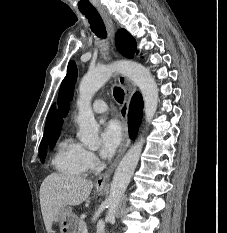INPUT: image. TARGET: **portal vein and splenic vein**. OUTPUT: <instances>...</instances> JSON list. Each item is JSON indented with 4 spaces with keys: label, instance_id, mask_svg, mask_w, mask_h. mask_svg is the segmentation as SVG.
Instances as JSON below:
<instances>
[{
    "label": "portal vein and splenic vein",
    "instance_id": "18ae733b",
    "mask_svg": "<svg viewBox=\"0 0 227 233\" xmlns=\"http://www.w3.org/2000/svg\"><path fill=\"white\" fill-rule=\"evenodd\" d=\"M84 233H88V230H87V228H85V229H84Z\"/></svg>",
    "mask_w": 227,
    "mask_h": 233
}]
</instances>
